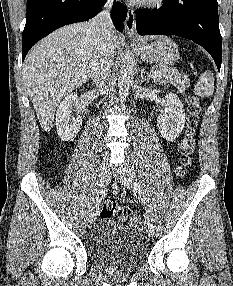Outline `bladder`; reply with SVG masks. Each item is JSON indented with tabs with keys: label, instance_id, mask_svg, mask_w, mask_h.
<instances>
[{
	"label": "bladder",
	"instance_id": "obj_1",
	"mask_svg": "<svg viewBox=\"0 0 233 286\" xmlns=\"http://www.w3.org/2000/svg\"><path fill=\"white\" fill-rule=\"evenodd\" d=\"M87 248L92 262L107 270L139 268L150 251L140 232L112 218L101 219L88 238Z\"/></svg>",
	"mask_w": 233,
	"mask_h": 286
}]
</instances>
